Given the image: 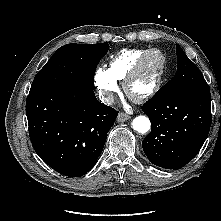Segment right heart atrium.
Returning <instances> with one entry per match:
<instances>
[{
	"label": "right heart atrium",
	"mask_w": 221,
	"mask_h": 221,
	"mask_svg": "<svg viewBox=\"0 0 221 221\" xmlns=\"http://www.w3.org/2000/svg\"><path fill=\"white\" fill-rule=\"evenodd\" d=\"M94 83L100 98L106 103L112 102L114 93L119 90V85L110 71L105 68H98L94 74Z\"/></svg>",
	"instance_id": "obj_1"
}]
</instances>
